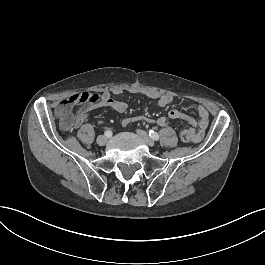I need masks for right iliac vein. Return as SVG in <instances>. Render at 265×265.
Returning <instances> with one entry per match:
<instances>
[{
	"mask_svg": "<svg viewBox=\"0 0 265 265\" xmlns=\"http://www.w3.org/2000/svg\"><path fill=\"white\" fill-rule=\"evenodd\" d=\"M107 137L104 136V135H100L98 136L97 138V143L100 145V146H104L106 143H107Z\"/></svg>",
	"mask_w": 265,
	"mask_h": 265,
	"instance_id": "right-iliac-vein-1",
	"label": "right iliac vein"
}]
</instances>
